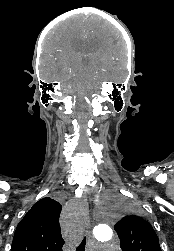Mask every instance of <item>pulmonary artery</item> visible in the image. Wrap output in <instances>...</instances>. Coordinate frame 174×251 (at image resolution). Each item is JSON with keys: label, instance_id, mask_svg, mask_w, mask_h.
Wrapping results in <instances>:
<instances>
[{"label": "pulmonary artery", "instance_id": "1", "mask_svg": "<svg viewBox=\"0 0 174 251\" xmlns=\"http://www.w3.org/2000/svg\"><path fill=\"white\" fill-rule=\"evenodd\" d=\"M104 247H107V248H108V247H109V245H108V244H106V245H104Z\"/></svg>", "mask_w": 174, "mask_h": 251}]
</instances>
